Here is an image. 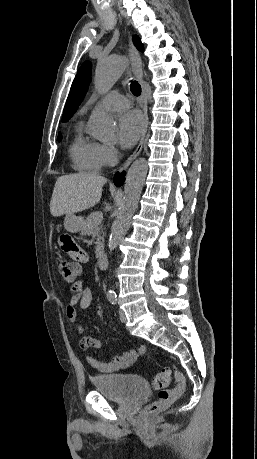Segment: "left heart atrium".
<instances>
[{"instance_id": "1", "label": "left heart atrium", "mask_w": 257, "mask_h": 459, "mask_svg": "<svg viewBox=\"0 0 257 459\" xmlns=\"http://www.w3.org/2000/svg\"><path fill=\"white\" fill-rule=\"evenodd\" d=\"M143 130V119L136 111L123 114L118 122L117 137L123 148L132 147L139 139Z\"/></svg>"}]
</instances>
